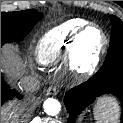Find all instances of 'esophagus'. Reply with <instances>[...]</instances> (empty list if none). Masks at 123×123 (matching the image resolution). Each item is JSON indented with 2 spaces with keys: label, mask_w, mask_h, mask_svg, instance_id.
Segmentation results:
<instances>
[{
  "label": "esophagus",
  "mask_w": 123,
  "mask_h": 123,
  "mask_svg": "<svg viewBox=\"0 0 123 123\" xmlns=\"http://www.w3.org/2000/svg\"><path fill=\"white\" fill-rule=\"evenodd\" d=\"M58 92V89L56 86H50L46 91H45V94L47 96H53V95H56Z\"/></svg>",
  "instance_id": "obj_1"
}]
</instances>
